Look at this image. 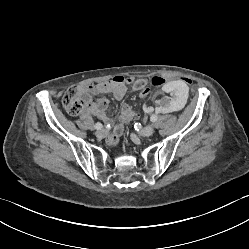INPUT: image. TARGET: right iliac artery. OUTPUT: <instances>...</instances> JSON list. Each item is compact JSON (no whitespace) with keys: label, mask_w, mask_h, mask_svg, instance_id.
<instances>
[{"label":"right iliac artery","mask_w":249,"mask_h":249,"mask_svg":"<svg viewBox=\"0 0 249 249\" xmlns=\"http://www.w3.org/2000/svg\"><path fill=\"white\" fill-rule=\"evenodd\" d=\"M95 128H96L97 130L101 129V128H102V124H101L100 122H97V123L95 124Z\"/></svg>","instance_id":"82829eb1"}]
</instances>
